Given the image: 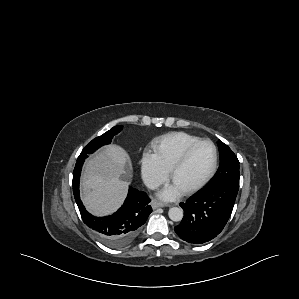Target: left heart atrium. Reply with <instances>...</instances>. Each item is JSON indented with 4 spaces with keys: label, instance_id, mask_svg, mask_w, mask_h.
I'll list each match as a JSON object with an SVG mask.
<instances>
[{
    "label": "left heart atrium",
    "instance_id": "left-heart-atrium-1",
    "mask_svg": "<svg viewBox=\"0 0 299 299\" xmlns=\"http://www.w3.org/2000/svg\"><path fill=\"white\" fill-rule=\"evenodd\" d=\"M182 193V190L177 187L175 184L171 185L170 187L164 189L160 196L167 200H172L178 197Z\"/></svg>",
    "mask_w": 299,
    "mask_h": 299
}]
</instances>
